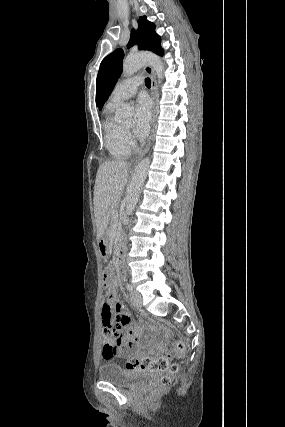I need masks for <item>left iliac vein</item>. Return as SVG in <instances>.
Returning <instances> with one entry per match:
<instances>
[{"instance_id":"4c4485c4","label":"left iliac vein","mask_w":285,"mask_h":427,"mask_svg":"<svg viewBox=\"0 0 285 427\" xmlns=\"http://www.w3.org/2000/svg\"><path fill=\"white\" fill-rule=\"evenodd\" d=\"M131 297H132V302L136 307H141L142 306V296L139 292L137 291H132L131 292Z\"/></svg>"}]
</instances>
